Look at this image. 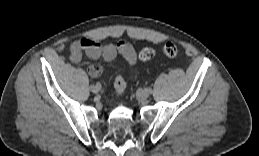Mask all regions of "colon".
Masks as SVG:
<instances>
[{
    "label": "colon",
    "instance_id": "colon-1",
    "mask_svg": "<svg viewBox=\"0 0 259 156\" xmlns=\"http://www.w3.org/2000/svg\"><path fill=\"white\" fill-rule=\"evenodd\" d=\"M163 53L167 57H175L178 54V47L174 43H167L163 47ZM155 56V50L152 47H144L139 52V58L148 61ZM114 87L118 95H123L126 90V82L122 75H118L114 81Z\"/></svg>",
    "mask_w": 259,
    "mask_h": 156
}]
</instances>
